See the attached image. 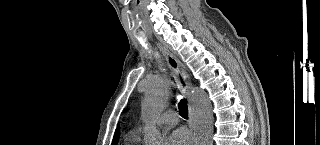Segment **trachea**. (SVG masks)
Wrapping results in <instances>:
<instances>
[{
    "label": "trachea",
    "instance_id": "obj_1",
    "mask_svg": "<svg viewBox=\"0 0 320 145\" xmlns=\"http://www.w3.org/2000/svg\"><path fill=\"white\" fill-rule=\"evenodd\" d=\"M178 109H179V114L183 117V118H188V106L185 102L184 99H181L179 104H178Z\"/></svg>",
    "mask_w": 320,
    "mask_h": 145
}]
</instances>
